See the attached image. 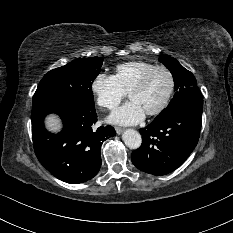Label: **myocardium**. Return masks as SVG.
Instances as JSON below:
<instances>
[{
  "label": "myocardium",
  "mask_w": 233,
  "mask_h": 233,
  "mask_svg": "<svg viewBox=\"0 0 233 233\" xmlns=\"http://www.w3.org/2000/svg\"><path fill=\"white\" fill-rule=\"evenodd\" d=\"M158 71H164L168 74L169 79H170V86H169V90L168 93L164 99V101L162 102V104L155 110L146 113L148 116H157L159 114H161L169 105L174 91H175V77L172 73V71L170 69H168L167 67L164 66H157L155 68H153L152 70H150L149 72H147L146 74H144L140 80L130 89V91L128 92V95L130 96L132 93L138 92L140 90H142L146 84L148 83L149 79Z\"/></svg>",
  "instance_id": "f54148a6"
}]
</instances>
